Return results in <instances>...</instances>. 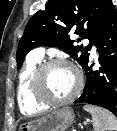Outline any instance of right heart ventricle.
<instances>
[{"label": "right heart ventricle", "instance_id": "e07e8e85", "mask_svg": "<svg viewBox=\"0 0 117 131\" xmlns=\"http://www.w3.org/2000/svg\"><path fill=\"white\" fill-rule=\"evenodd\" d=\"M41 64V58H29L20 72L17 85V100L20 111L25 115H34L46 109L37 102L31 92V81L36 68Z\"/></svg>", "mask_w": 117, "mask_h": 131}]
</instances>
